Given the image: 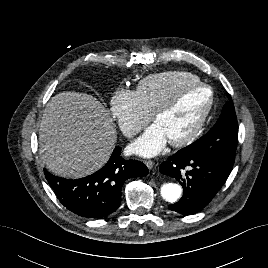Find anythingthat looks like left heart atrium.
Returning a JSON list of instances; mask_svg holds the SVG:
<instances>
[{
  "label": "left heart atrium",
  "instance_id": "39dd6f15",
  "mask_svg": "<svg viewBox=\"0 0 268 268\" xmlns=\"http://www.w3.org/2000/svg\"><path fill=\"white\" fill-rule=\"evenodd\" d=\"M166 142L164 132L156 123L145 129L143 134L129 146V151L142 157H152L164 148Z\"/></svg>",
  "mask_w": 268,
  "mask_h": 268
}]
</instances>
